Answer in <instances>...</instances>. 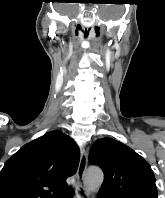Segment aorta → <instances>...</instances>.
Listing matches in <instances>:
<instances>
[{"label":"aorta","instance_id":"762f6f07","mask_svg":"<svg viewBox=\"0 0 165 198\" xmlns=\"http://www.w3.org/2000/svg\"><path fill=\"white\" fill-rule=\"evenodd\" d=\"M104 180V174L99 167H89L85 173V185L90 192H97Z\"/></svg>","mask_w":165,"mask_h":198}]
</instances>
